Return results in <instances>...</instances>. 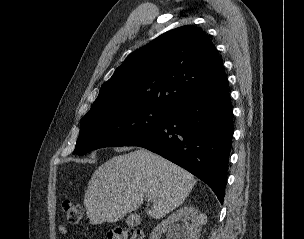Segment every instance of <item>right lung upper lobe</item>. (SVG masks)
<instances>
[{
	"instance_id": "1",
	"label": "right lung upper lobe",
	"mask_w": 304,
	"mask_h": 239,
	"mask_svg": "<svg viewBox=\"0 0 304 239\" xmlns=\"http://www.w3.org/2000/svg\"><path fill=\"white\" fill-rule=\"evenodd\" d=\"M223 78L222 60L208 36L199 27L185 25L129 55L101 86L84 117L137 106L169 110Z\"/></svg>"
}]
</instances>
